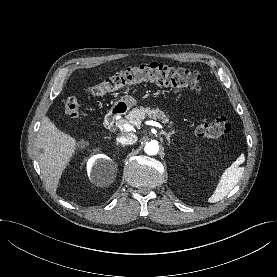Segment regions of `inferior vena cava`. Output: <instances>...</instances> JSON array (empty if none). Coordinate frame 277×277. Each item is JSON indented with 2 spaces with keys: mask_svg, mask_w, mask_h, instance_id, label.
Here are the masks:
<instances>
[{
  "mask_svg": "<svg viewBox=\"0 0 277 277\" xmlns=\"http://www.w3.org/2000/svg\"><path fill=\"white\" fill-rule=\"evenodd\" d=\"M117 142L121 143L122 145H131L136 143L137 136L135 134H125L123 136L117 137Z\"/></svg>",
  "mask_w": 277,
  "mask_h": 277,
  "instance_id": "1",
  "label": "inferior vena cava"
}]
</instances>
